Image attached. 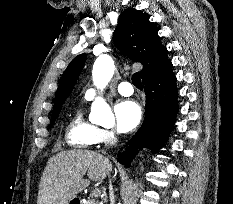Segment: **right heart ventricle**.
Segmentation results:
<instances>
[{"label": "right heart ventricle", "instance_id": "e07e8e85", "mask_svg": "<svg viewBox=\"0 0 233 204\" xmlns=\"http://www.w3.org/2000/svg\"><path fill=\"white\" fill-rule=\"evenodd\" d=\"M99 128L88 121L81 107L77 108L66 129V142L75 148H87L97 143Z\"/></svg>", "mask_w": 233, "mask_h": 204}]
</instances>
